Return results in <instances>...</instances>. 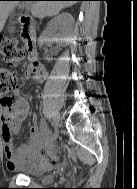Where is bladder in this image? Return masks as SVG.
Segmentation results:
<instances>
[{
	"instance_id": "31cf9c89",
	"label": "bladder",
	"mask_w": 137,
	"mask_h": 189,
	"mask_svg": "<svg viewBox=\"0 0 137 189\" xmlns=\"http://www.w3.org/2000/svg\"><path fill=\"white\" fill-rule=\"evenodd\" d=\"M28 175L30 177L41 178V179L47 181L48 183H52L54 181V178L52 176L48 175L45 170L39 169V168H35V169L30 170L28 172Z\"/></svg>"
}]
</instances>
